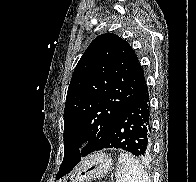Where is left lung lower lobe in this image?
I'll return each instance as SVG.
<instances>
[{
  "label": "left lung lower lobe",
  "instance_id": "obj_1",
  "mask_svg": "<svg viewBox=\"0 0 196 182\" xmlns=\"http://www.w3.org/2000/svg\"><path fill=\"white\" fill-rule=\"evenodd\" d=\"M150 136V100L148 87L145 83L141 90L122 109L109 134L94 151L116 148L130 152L137 157L147 158L151 154ZM82 155V152L80 154L78 146H76L68 151L64 160L65 162L76 160V163H79Z\"/></svg>",
  "mask_w": 196,
  "mask_h": 182
}]
</instances>
